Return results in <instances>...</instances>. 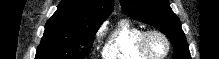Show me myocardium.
Wrapping results in <instances>:
<instances>
[{
	"instance_id": "1",
	"label": "myocardium",
	"mask_w": 219,
	"mask_h": 59,
	"mask_svg": "<svg viewBox=\"0 0 219 59\" xmlns=\"http://www.w3.org/2000/svg\"><path fill=\"white\" fill-rule=\"evenodd\" d=\"M152 36H158L164 41V43L166 45V50L163 54L155 55L150 51V49L148 47V40ZM139 48H140L141 52L144 53L150 59H164L170 53L171 42H170L168 36L160 30H156V29L143 30V32L141 33L140 38H139Z\"/></svg>"
}]
</instances>
